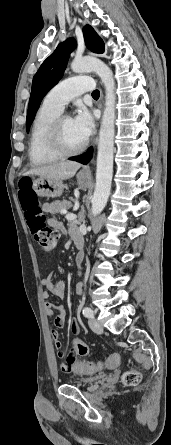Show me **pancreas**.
<instances>
[{"instance_id":"1","label":"pancreas","mask_w":171,"mask_h":445,"mask_svg":"<svg viewBox=\"0 0 171 445\" xmlns=\"http://www.w3.org/2000/svg\"><path fill=\"white\" fill-rule=\"evenodd\" d=\"M72 207V203L67 200L63 201H55L51 204L52 212L53 213H61L62 209H69Z\"/></svg>"}]
</instances>
